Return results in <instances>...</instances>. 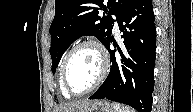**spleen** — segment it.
I'll list each match as a JSON object with an SVG mask.
<instances>
[{"label": "spleen", "mask_w": 193, "mask_h": 112, "mask_svg": "<svg viewBox=\"0 0 193 112\" xmlns=\"http://www.w3.org/2000/svg\"><path fill=\"white\" fill-rule=\"evenodd\" d=\"M114 109L116 112H134L132 109L128 107L121 108L118 104H113Z\"/></svg>", "instance_id": "1"}]
</instances>
